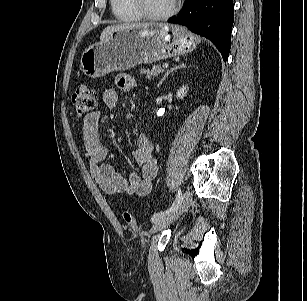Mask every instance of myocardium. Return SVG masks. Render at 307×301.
Returning a JSON list of instances; mask_svg holds the SVG:
<instances>
[{
	"label": "myocardium",
	"instance_id": "myocardium-1",
	"mask_svg": "<svg viewBox=\"0 0 307 301\" xmlns=\"http://www.w3.org/2000/svg\"><path fill=\"white\" fill-rule=\"evenodd\" d=\"M132 2V6L134 7L135 11L142 17L150 21H161V20H166L173 15L177 13L180 7V1L181 0H174L171 8L160 14H154L149 12L145 5H144V0H130Z\"/></svg>",
	"mask_w": 307,
	"mask_h": 301
}]
</instances>
